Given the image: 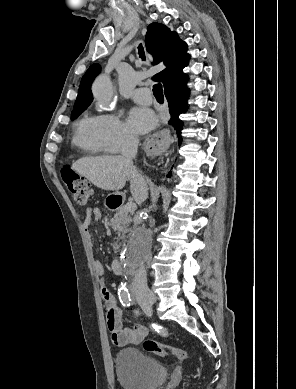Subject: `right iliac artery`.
I'll use <instances>...</instances> for the list:
<instances>
[{
    "instance_id": "right-iliac-artery-1",
    "label": "right iliac artery",
    "mask_w": 296,
    "mask_h": 389,
    "mask_svg": "<svg viewBox=\"0 0 296 389\" xmlns=\"http://www.w3.org/2000/svg\"><path fill=\"white\" fill-rule=\"evenodd\" d=\"M118 295L120 302L123 306L129 307L132 304V298L129 294L128 289L122 287L121 289H119Z\"/></svg>"
}]
</instances>
